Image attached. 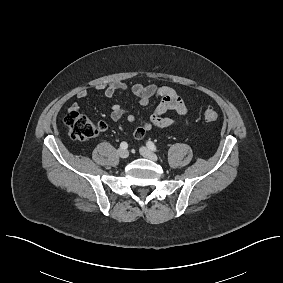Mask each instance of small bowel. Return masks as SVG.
<instances>
[{"label": "small bowel", "mask_w": 283, "mask_h": 283, "mask_svg": "<svg viewBox=\"0 0 283 283\" xmlns=\"http://www.w3.org/2000/svg\"><path fill=\"white\" fill-rule=\"evenodd\" d=\"M98 90L103 91L107 97H114L117 94H132L136 97L140 106H147L154 97L160 98L155 109L151 113L149 120L141 122L133 130V136L136 139L143 138L153 128H170L174 125V119L166 116L169 111H174L180 116H186L187 109L177 92L169 86H157L155 84H134L130 89L123 82H113L107 85H99ZM75 96L78 99H86L88 92L80 89ZM79 106L74 103L70 106L71 111H77ZM126 114V110L119 104L111 108L110 118L113 121H119ZM127 121L134 123L136 117L133 114L127 115ZM105 124V123H104Z\"/></svg>", "instance_id": "c3829d8e"}]
</instances>
